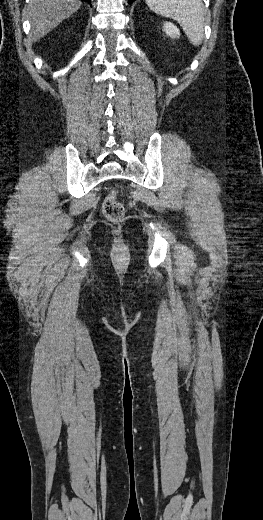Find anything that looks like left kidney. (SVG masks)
Returning a JSON list of instances; mask_svg holds the SVG:
<instances>
[{
  "label": "left kidney",
  "instance_id": "left-kidney-1",
  "mask_svg": "<svg viewBox=\"0 0 263 520\" xmlns=\"http://www.w3.org/2000/svg\"><path fill=\"white\" fill-rule=\"evenodd\" d=\"M163 30L166 33V35H168L171 38H178L180 36L179 30L172 23H164Z\"/></svg>",
  "mask_w": 263,
  "mask_h": 520
}]
</instances>
